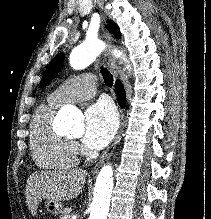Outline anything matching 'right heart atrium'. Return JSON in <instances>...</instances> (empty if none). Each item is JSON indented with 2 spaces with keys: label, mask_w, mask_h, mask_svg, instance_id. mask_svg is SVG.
I'll return each instance as SVG.
<instances>
[{
  "label": "right heart atrium",
  "mask_w": 211,
  "mask_h": 219,
  "mask_svg": "<svg viewBox=\"0 0 211 219\" xmlns=\"http://www.w3.org/2000/svg\"><path fill=\"white\" fill-rule=\"evenodd\" d=\"M74 147H75L76 151L80 150V148H79V146L77 144H74Z\"/></svg>",
  "instance_id": "1"
}]
</instances>
